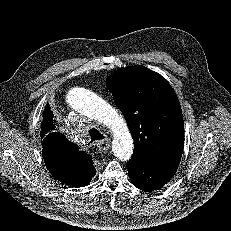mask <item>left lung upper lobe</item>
<instances>
[{
    "instance_id": "5c2ea615",
    "label": "left lung upper lobe",
    "mask_w": 231,
    "mask_h": 231,
    "mask_svg": "<svg viewBox=\"0 0 231 231\" xmlns=\"http://www.w3.org/2000/svg\"><path fill=\"white\" fill-rule=\"evenodd\" d=\"M107 87L135 140L130 161L179 164L184 122L179 100L170 84L160 74L136 65L116 70L108 77Z\"/></svg>"
}]
</instances>
